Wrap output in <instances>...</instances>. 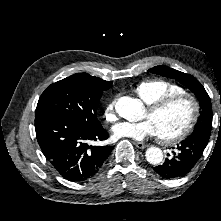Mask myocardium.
Here are the masks:
<instances>
[{
    "label": "myocardium",
    "mask_w": 221,
    "mask_h": 221,
    "mask_svg": "<svg viewBox=\"0 0 221 221\" xmlns=\"http://www.w3.org/2000/svg\"><path fill=\"white\" fill-rule=\"evenodd\" d=\"M179 101H186L189 104L190 116L186 125L178 133L171 136H162L158 134L159 140L165 144L180 142L192 132L199 117V103L193 95L183 92L162 97L152 104H149L148 107V111L151 114H155Z\"/></svg>",
    "instance_id": "obj_1"
}]
</instances>
